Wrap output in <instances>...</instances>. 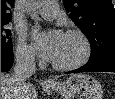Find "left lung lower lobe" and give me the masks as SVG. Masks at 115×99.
Here are the masks:
<instances>
[{"label":"left lung lower lobe","mask_w":115,"mask_h":99,"mask_svg":"<svg viewBox=\"0 0 115 99\" xmlns=\"http://www.w3.org/2000/svg\"><path fill=\"white\" fill-rule=\"evenodd\" d=\"M115 72V56L107 57L95 62H87L79 69L69 71L67 73H79V72Z\"/></svg>","instance_id":"1"}]
</instances>
